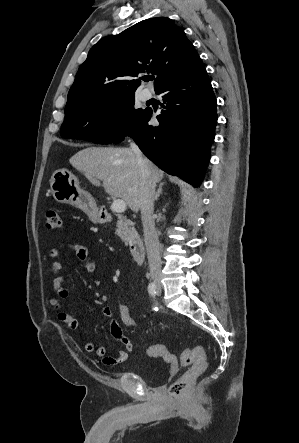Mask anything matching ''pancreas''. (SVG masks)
<instances>
[{
    "instance_id": "cf45deb5",
    "label": "pancreas",
    "mask_w": 299,
    "mask_h": 443,
    "mask_svg": "<svg viewBox=\"0 0 299 443\" xmlns=\"http://www.w3.org/2000/svg\"><path fill=\"white\" fill-rule=\"evenodd\" d=\"M117 217L116 234L125 244H128L133 238L138 236L134 223L124 216L117 215Z\"/></svg>"
}]
</instances>
